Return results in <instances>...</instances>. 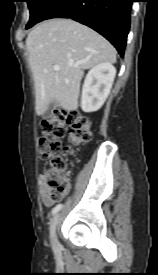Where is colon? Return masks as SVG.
Returning a JSON list of instances; mask_svg holds the SVG:
<instances>
[{
  "mask_svg": "<svg viewBox=\"0 0 158 275\" xmlns=\"http://www.w3.org/2000/svg\"><path fill=\"white\" fill-rule=\"evenodd\" d=\"M67 131L70 147L79 146L90 141L92 122L80 113L56 110L43 121L37 141L39 156L47 162L46 168L39 176V185L44 196L51 201L61 200L69 188L65 160L60 154L61 139Z\"/></svg>",
  "mask_w": 158,
  "mask_h": 275,
  "instance_id": "colon-1",
  "label": "colon"
}]
</instances>
